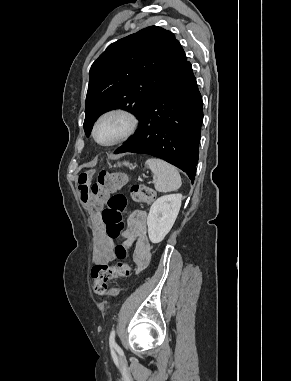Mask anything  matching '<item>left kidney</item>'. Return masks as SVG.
<instances>
[{"mask_svg":"<svg viewBox=\"0 0 291 381\" xmlns=\"http://www.w3.org/2000/svg\"><path fill=\"white\" fill-rule=\"evenodd\" d=\"M182 194L159 197L152 204L148 217V235L152 243H160L171 230L179 213Z\"/></svg>","mask_w":291,"mask_h":381,"instance_id":"5707ae66","label":"left kidney"}]
</instances>
